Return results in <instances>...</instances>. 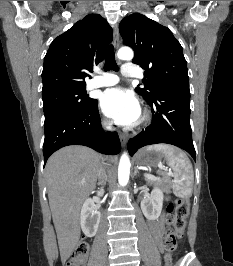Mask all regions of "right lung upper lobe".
<instances>
[{"mask_svg":"<svg viewBox=\"0 0 233 266\" xmlns=\"http://www.w3.org/2000/svg\"><path fill=\"white\" fill-rule=\"evenodd\" d=\"M112 29L100 15L89 14L51 43L44 58L42 94L86 86V70L103 61Z\"/></svg>","mask_w":233,"mask_h":266,"instance_id":"right-lung-upper-lobe-1","label":"right lung upper lobe"}]
</instances>
